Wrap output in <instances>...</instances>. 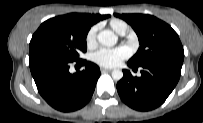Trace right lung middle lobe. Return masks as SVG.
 Segmentation results:
<instances>
[{"mask_svg": "<svg viewBox=\"0 0 203 123\" xmlns=\"http://www.w3.org/2000/svg\"><path fill=\"white\" fill-rule=\"evenodd\" d=\"M90 29L80 17L67 14L51 18L38 28L30 41L29 56L52 55L78 61L86 52V36Z\"/></svg>", "mask_w": 203, "mask_h": 123, "instance_id": "right-lung-middle-lobe-1", "label": "right lung middle lobe"}]
</instances>
